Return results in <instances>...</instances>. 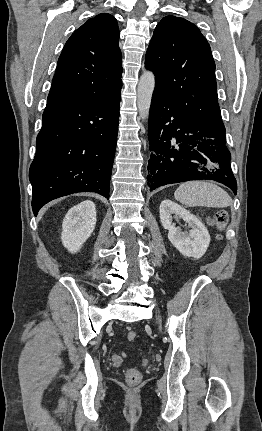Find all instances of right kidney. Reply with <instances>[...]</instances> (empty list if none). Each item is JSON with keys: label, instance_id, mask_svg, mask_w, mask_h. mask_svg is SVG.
<instances>
[{"label": "right kidney", "instance_id": "obj_1", "mask_svg": "<svg viewBox=\"0 0 262 431\" xmlns=\"http://www.w3.org/2000/svg\"><path fill=\"white\" fill-rule=\"evenodd\" d=\"M96 208L91 200H86L72 207L62 224L61 240L71 253L80 250L83 243L91 236L96 225Z\"/></svg>", "mask_w": 262, "mask_h": 431}]
</instances>
